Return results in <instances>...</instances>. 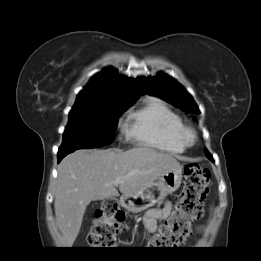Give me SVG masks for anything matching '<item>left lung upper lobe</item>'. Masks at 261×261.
<instances>
[{
    "instance_id": "1",
    "label": "left lung upper lobe",
    "mask_w": 261,
    "mask_h": 261,
    "mask_svg": "<svg viewBox=\"0 0 261 261\" xmlns=\"http://www.w3.org/2000/svg\"><path fill=\"white\" fill-rule=\"evenodd\" d=\"M144 93L158 96L179 109L191 114H199V110L192 97L173 78L165 74H158L156 77H142L137 79ZM206 157L213 160V157L205 150Z\"/></svg>"
}]
</instances>
